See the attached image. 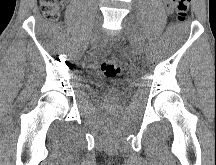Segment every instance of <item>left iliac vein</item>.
<instances>
[{"label": "left iliac vein", "mask_w": 216, "mask_h": 165, "mask_svg": "<svg viewBox=\"0 0 216 165\" xmlns=\"http://www.w3.org/2000/svg\"><path fill=\"white\" fill-rule=\"evenodd\" d=\"M123 30L125 35L128 37L129 41L131 42L134 51L137 54H141L143 52V45L140 39L139 33L131 20V18L126 17L122 22Z\"/></svg>", "instance_id": "obj_1"}]
</instances>
